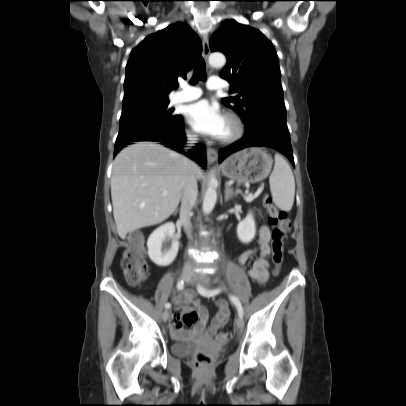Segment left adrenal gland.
Segmentation results:
<instances>
[{"instance_id":"1","label":"left adrenal gland","mask_w":406,"mask_h":406,"mask_svg":"<svg viewBox=\"0 0 406 406\" xmlns=\"http://www.w3.org/2000/svg\"><path fill=\"white\" fill-rule=\"evenodd\" d=\"M225 202H228L232 197L237 196V191H234L233 188L230 187V185L228 184V182L225 183Z\"/></svg>"}]
</instances>
